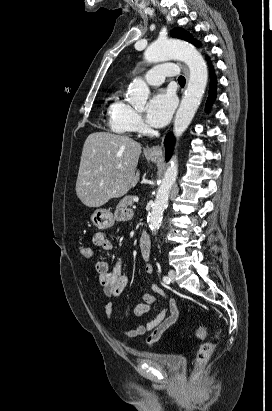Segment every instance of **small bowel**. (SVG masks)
<instances>
[{"mask_svg":"<svg viewBox=\"0 0 272 411\" xmlns=\"http://www.w3.org/2000/svg\"><path fill=\"white\" fill-rule=\"evenodd\" d=\"M131 217V212L125 211L119 214V218L128 219ZM93 243L104 251H112L114 244L109 240L104 233H96L93 237ZM95 270L98 275V281L104 289V295L107 298H115L119 296L128 285V276L123 271V259H119L113 268H110L109 263L106 260L99 259L95 262ZM154 268L150 262L145 263L144 271L146 274H152ZM150 289L154 294L147 291H142L141 298L142 303H139L134 313L136 316H144L152 309L153 304L157 300V296L161 297L165 301V307L158 312L154 319L146 324H140L136 327L126 328L113 322V303L107 302L104 307L107 320L112 325L113 329L124 337H127L132 342L137 337L144 335L148 332L150 334L146 337V344L153 347L155 343L160 339L163 333L172 326L178 319L179 311L176 305V301L173 297L169 296L162 288L156 283L150 285Z\"/></svg>","mask_w":272,"mask_h":411,"instance_id":"obj_1","label":"small bowel"}]
</instances>
